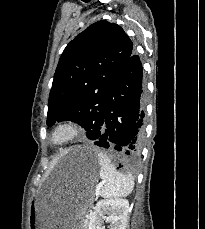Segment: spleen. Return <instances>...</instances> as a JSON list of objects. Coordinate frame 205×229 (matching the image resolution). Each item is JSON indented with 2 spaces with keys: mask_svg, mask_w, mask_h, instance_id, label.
<instances>
[{
  "mask_svg": "<svg viewBox=\"0 0 205 229\" xmlns=\"http://www.w3.org/2000/svg\"><path fill=\"white\" fill-rule=\"evenodd\" d=\"M100 177L102 185L96 190V195L106 199L121 198L128 196L134 187V179L130 174H121L116 171L107 155L98 154Z\"/></svg>",
  "mask_w": 205,
  "mask_h": 229,
  "instance_id": "1",
  "label": "spleen"
}]
</instances>
